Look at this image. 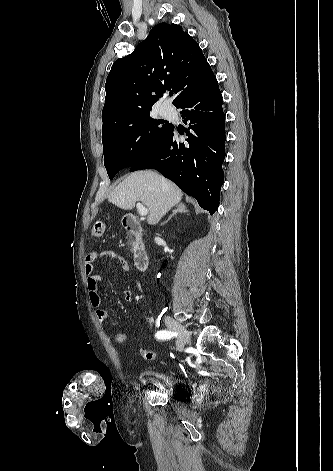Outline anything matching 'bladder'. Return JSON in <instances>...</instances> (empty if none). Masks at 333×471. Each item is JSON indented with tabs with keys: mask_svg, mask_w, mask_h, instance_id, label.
<instances>
[{
	"mask_svg": "<svg viewBox=\"0 0 333 471\" xmlns=\"http://www.w3.org/2000/svg\"><path fill=\"white\" fill-rule=\"evenodd\" d=\"M141 374L159 381L165 387L169 397L180 398L187 396L191 392L190 384L172 372L145 367L141 370Z\"/></svg>",
	"mask_w": 333,
	"mask_h": 471,
	"instance_id": "1",
	"label": "bladder"
}]
</instances>
